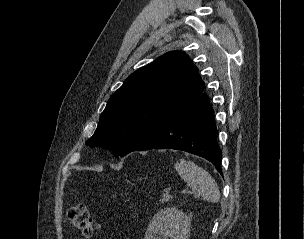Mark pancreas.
<instances>
[{
    "mask_svg": "<svg viewBox=\"0 0 304 239\" xmlns=\"http://www.w3.org/2000/svg\"><path fill=\"white\" fill-rule=\"evenodd\" d=\"M169 200H170L169 196H163L162 199L160 200V202L164 203V202H168Z\"/></svg>",
    "mask_w": 304,
    "mask_h": 239,
    "instance_id": "obj_1",
    "label": "pancreas"
}]
</instances>
